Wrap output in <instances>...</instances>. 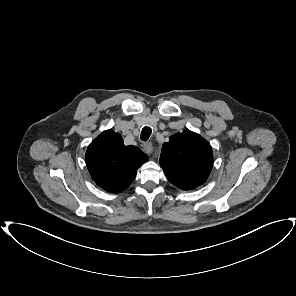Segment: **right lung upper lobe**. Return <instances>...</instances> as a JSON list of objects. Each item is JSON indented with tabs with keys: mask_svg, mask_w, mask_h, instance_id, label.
I'll list each match as a JSON object with an SVG mask.
<instances>
[{
	"mask_svg": "<svg viewBox=\"0 0 296 296\" xmlns=\"http://www.w3.org/2000/svg\"><path fill=\"white\" fill-rule=\"evenodd\" d=\"M85 159L96 184L117 193L130 186L148 156L136 146H125L120 134L106 130L89 145Z\"/></svg>",
	"mask_w": 296,
	"mask_h": 296,
	"instance_id": "1",
	"label": "right lung upper lobe"
}]
</instances>
